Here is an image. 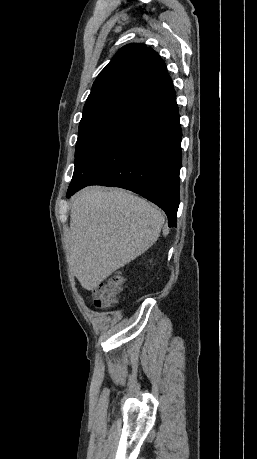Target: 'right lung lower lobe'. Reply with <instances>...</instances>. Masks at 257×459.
Wrapping results in <instances>:
<instances>
[{
    "mask_svg": "<svg viewBox=\"0 0 257 459\" xmlns=\"http://www.w3.org/2000/svg\"><path fill=\"white\" fill-rule=\"evenodd\" d=\"M174 89L137 111L108 145L73 175L67 197L88 185L121 187L162 208L176 226L181 137Z\"/></svg>",
    "mask_w": 257,
    "mask_h": 459,
    "instance_id": "98d812e1",
    "label": "right lung lower lobe"
}]
</instances>
